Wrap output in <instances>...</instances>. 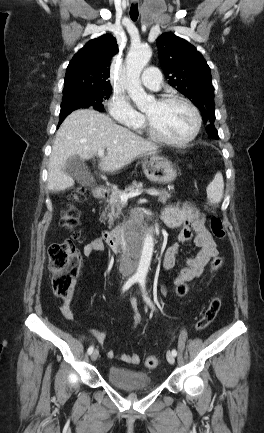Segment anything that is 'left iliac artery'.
<instances>
[{"instance_id": "left-iliac-artery-1", "label": "left iliac artery", "mask_w": 264, "mask_h": 433, "mask_svg": "<svg viewBox=\"0 0 264 433\" xmlns=\"http://www.w3.org/2000/svg\"><path fill=\"white\" fill-rule=\"evenodd\" d=\"M139 283H140V286L142 287V290H143V293H144V299L149 304V306L153 307V304H152L151 300L148 298V296H146V293H145V278H140L139 279ZM172 354L174 356H176L177 355V351L175 349H173L172 350Z\"/></svg>"}]
</instances>
